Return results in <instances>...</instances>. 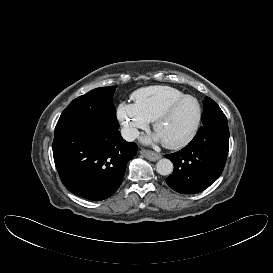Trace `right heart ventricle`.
Instances as JSON below:
<instances>
[{
  "label": "right heart ventricle",
  "mask_w": 273,
  "mask_h": 273,
  "mask_svg": "<svg viewBox=\"0 0 273 273\" xmlns=\"http://www.w3.org/2000/svg\"><path fill=\"white\" fill-rule=\"evenodd\" d=\"M185 94L169 86H149L135 91L131 98L134 106L150 122L173 100Z\"/></svg>",
  "instance_id": "obj_1"
}]
</instances>
